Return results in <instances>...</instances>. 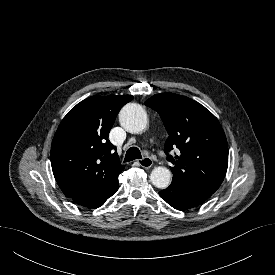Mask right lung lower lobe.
<instances>
[{"instance_id": "1", "label": "right lung lower lobe", "mask_w": 275, "mask_h": 275, "mask_svg": "<svg viewBox=\"0 0 275 275\" xmlns=\"http://www.w3.org/2000/svg\"><path fill=\"white\" fill-rule=\"evenodd\" d=\"M118 190V180L109 188L93 192L86 195H81L78 197L72 198L77 204L88 207V208H97L103 205L106 200L114 195Z\"/></svg>"}]
</instances>
